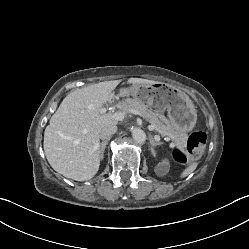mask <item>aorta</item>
<instances>
[{
	"mask_svg": "<svg viewBox=\"0 0 249 249\" xmlns=\"http://www.w3.org/2000/svg\"><path fill=\"white\" fill-rule=\"evenodd\" d=\"M132 137L136 143L143 144L146 141V134L140 128L132 129Z\"/></svg>",
	"mask_w": 249,
	"mask_h": 249,
	"instance_id": "762f6f07",
	"label": "aorta"
}]
</instances>
